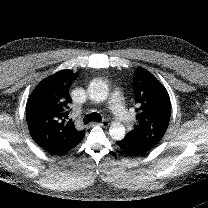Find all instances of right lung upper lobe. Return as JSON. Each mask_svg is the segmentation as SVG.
I'll use <instances>...</instances> for the list:
<instances>
[{"instance_id":"1","label":"right lung upper lobe","mask_w":208,"mask_h":208,"mask_svg":"<svg viewBox=\"0 0 208 208\" xmlns=\"http://www.w3.org/2000/svg\"><path fill=\"white\" fill-rule=\"evenodd\" d=\"M78 76L66 69L42 80L26 105V119L34 141L51 152L83 137L69 119L72 102L69 88Z\"/></svg>"}]
</instances>
